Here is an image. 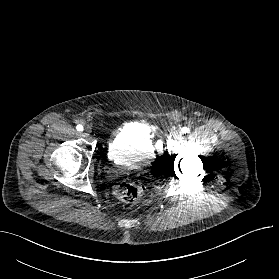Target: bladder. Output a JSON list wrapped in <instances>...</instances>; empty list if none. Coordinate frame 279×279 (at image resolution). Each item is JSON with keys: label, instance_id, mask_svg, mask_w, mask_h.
I'll list each match as a JSON object with an SVG mask.
<instances>
[{"label": "bladder", "instance_id": "31cf9c89", "mask_svg": "<svg viewBox=\"0 0 279 279\" xmlns=\"http://www.w3.org/2000/svg\"><path fill=\"white\" fill-rule=\"evenodd\" d=\"M107 153L121 168L140 169L149 166L156 157L150 127L138 121L122 125L109 139Z\"/></svg>", "mask_w": 279, "mask_h": 279}]
</instances>
